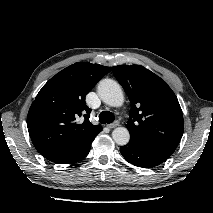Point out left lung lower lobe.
Instances as JSON below:
<instances>
[{"label":"left lung lower lobe","mask_w":213,"mask_h":213,"mask_svg":"<svg viewBox=\"0 0 213 213\" xmlns=\"http://www.w3.org/2000/svg\"><path fill=\"white\" fill-rule=\"evenodd\" d=\"M121 154L131 164L137 167L152 168L167 160L171 155L143 146L134 139L120 147Z\"/></svg>","instance_id":"1"}]
</instances>
